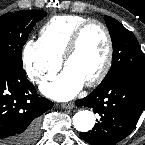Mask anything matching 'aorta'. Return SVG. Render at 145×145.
Masks as SVG:
<instances>
[{
  "instance_id": "1",
  "label": "aorta",
  "mask_w": 145,
  "mask_h": 145,
  "mask_svg": "<svg viewBox=\"0 0 145 145\" xmlns=\"http://www.w3.org/2000/svg\"><path fill=\"white\" fill-rule=\"evenodd\" d=\"M96 122L95 115L89 110H80L73 116V125L79 132L90 131Z\"/></svg>"
}]
</instances>
